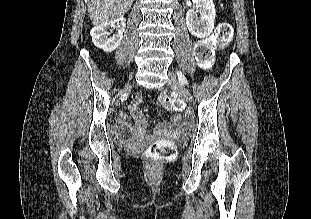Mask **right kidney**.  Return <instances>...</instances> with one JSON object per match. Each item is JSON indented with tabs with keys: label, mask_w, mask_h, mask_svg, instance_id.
I'll return each instance as SVG.
<instances>
[{
	"label": "right kidney",
	"mask_w": 311,
	"mask_h": 219,
	"mask_svg": "<svg viewBox=\"0 0 311 219\" xmlns=\"http://www.w3.org/2000/svg\"><path fill=\"white\" fill-rule=\"evenodd\" d=\"M117 24V33L109 37L108 30ZM126 23L123 17L117 18L115 20L105 22L100 25H96L90 32L93 44L102 49L103 51L109 53L114 51L123 38V33L125 31Z\"/></svg>",
	"instance_id": "obj_1"
}]
</instances>
